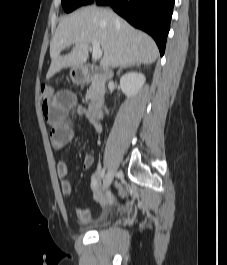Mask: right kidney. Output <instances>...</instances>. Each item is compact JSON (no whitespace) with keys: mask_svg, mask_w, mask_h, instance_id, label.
Returning a JSON list of instances; mask_svg holds the SVG:
<instances>
[{"mask_svg":"<svg viewBox=\"0 0 227 265\" xmlns=\"http://www.w3.org/2000/svg\"><path fill=\"white\" fill-rule=\"evenodd\" d=\"M145 76L138 72H129L120 78L122 92L129 98L137 95L145 83Z\"/></svg>","mask_w":227,"mask_h":265,"instance_id":"obj_1","label":"right kidney"}]
</instances>
